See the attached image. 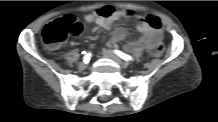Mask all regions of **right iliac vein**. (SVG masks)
Masks as SVG:
<instances>
[{
    "label": "right iliac vein",
    "mask_w": 218,
    "mask_h": 122,
    "mask_svg": "<svg viewBox=\"0 0 218 122\" xmlns=\"http://www.w3.org/2000/svg\"><path fill=\"white\" fill-rule=\"evenodd\" d=\"M86 67H87V64L85 62H81L78 65L79 70H84V69H86Z\"/></svg>",
    "instance_id": "obj_1"
}]
</instances>
